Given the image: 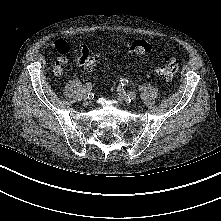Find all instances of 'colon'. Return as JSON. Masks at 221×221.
Segmentation results:
<instances>
[{
    "label": "colon",
    "instance_id": "1",
    "mask_svg": "<svg viewBox=\"0 0 221 221\" xmlns=\"http://www.w3.org/2000/svg\"><path fill=\"white\" fill-rule=\"evenodd\" d=\"M151 50V45L141 39H136L128 44V52L133 56H142ZM99 61L98 56L90 55L89 52L81 55L79 59L80 66L85 70L93 69ZM179 68V62L176 58H166L164 64L159 68L158 73L165 79H171Z\"/></svg>",
    "mask_w": 221,
    "mask_h": 221
}]
</instances>
